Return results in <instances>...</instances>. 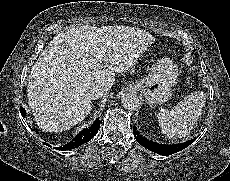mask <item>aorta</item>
Returning a JSON list of instances; mask_svg holds the SVG:
<instances>
[{
  "mask_svg": "<svg viewBox=\"0 0 230 181\" xmlns=\"http://www.w3.org/2000/svg\"><path fill=\"white\" fill-rule=\"evenodd\" d=\"M121 103L125 109L136 110L140 107L141 101L134 93H126L122 96Z\"/></svg>",
  "mask_w": 230,
  "mask_h": 181,
  "instance_id": "aorta-1",
  "label": "aorta"
}]
</instances>
